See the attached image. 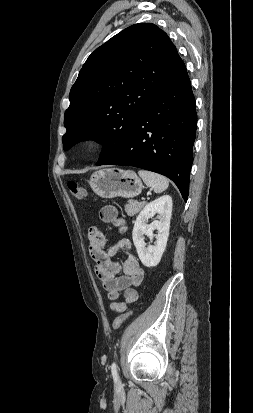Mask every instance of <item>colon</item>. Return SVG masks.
<instances>
[{"mask_svg": "<svg viewBox=\"0 0 253 413\" xmlns=\"http://www.w3.org/2000/svg\"><path fill=\"white\" fill-rule=\"evenodd\" d=\"M68 190L70 194L78 199L81 200L86 196V191L85 189L76 181H69L67 183ZM132 314V311H128L126 313H123L119 316H117L113 322H112V328L113 329H118L120 326L123 324V322Z\"/></svg>", "mask_w": 253, "mask_h": 413, "instance_id": "5ec220e1", "label": "colon"}]
</instances>
